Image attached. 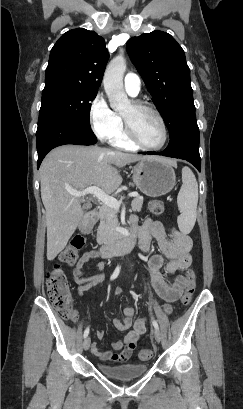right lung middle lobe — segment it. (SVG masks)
<instances>
[{
  "label": "right lung middle lobe",
  "mask_w": 243,
  "mask_h": 409,
  "mask_svg": "<svg viewBox=\"0 0 243 409\" xmlns=\"http://www.w3.org/2000/svg\"><path fill=\"white\" fill-rule=\"evenodd\" d=\"M97 90L59 80L45 81L38 128L50 122H65L90 128L91 101Z\"/></svg>",
  "instance_id": "1"
}]
</instances>
